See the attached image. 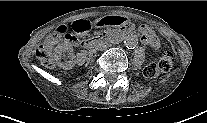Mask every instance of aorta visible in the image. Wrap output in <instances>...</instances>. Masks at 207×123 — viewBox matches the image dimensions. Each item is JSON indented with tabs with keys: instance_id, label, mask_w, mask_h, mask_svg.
Instances as JSON below:
<instances>
[{
	"instance_id": "aorta-1",
	"label": "aorta",
	"mask_w": 207,
	"mask_h": 123,
	"mask_svg": "<svg viewBox=\"0 0 207 123\" xmlns=\"http://www.w3.org/2000/svg\"><path fill=\"white\" fill-rule=\"evenodd\" d=\"M137 43H138V39H137L136 35L130 34V35H127L125 37V45H126V47L133 48V47H135L137 45Z\"/></svg>"
}]
</instances>
